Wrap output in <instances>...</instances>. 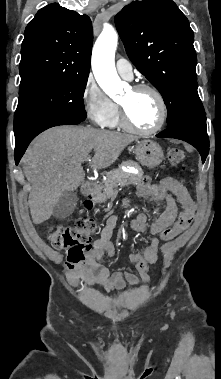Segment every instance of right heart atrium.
<instances>
[{"label":"right heart atrium","instance_id":"right-heart-atrium-1","mask_svg":"<svg viewBox=\"0 0 221 379\" xmlns=\"http://www.w3.org/2000/svg\"><path fill=\"white\" fill-rule=\"evenodd\" d=\"M82 103L91 120L107 125L117 110L116 104L105 94L96 81L89 77L82 91Z\"/></svg>","mask_w":221,"mask_h":379}]
</instances>
